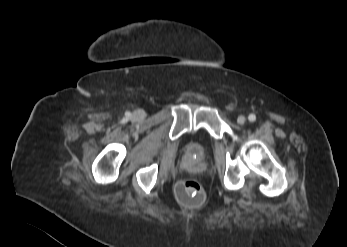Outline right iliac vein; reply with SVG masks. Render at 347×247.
<instances>
[{"mask_svg": "<svg viewBox=\"0 0 347 247\" xmlns=\"http://www.w3.org/2000/svg\"><path fill=\"white\" fill-rule=\"evenodd\" d=\"M145 115V112L143 110H137L136 112H134L133 117L135 119H142Z\"/></svg>", "mask_w": 347, "mask_h": 247, "instance_id": "right-iliac-vein-1", "label": "right iliac vein"}]
</instances>
